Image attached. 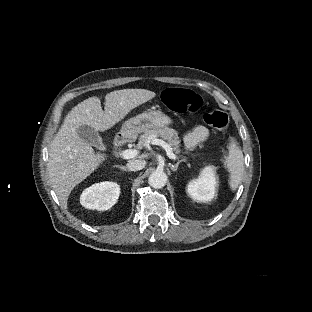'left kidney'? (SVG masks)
Instances as JSON below:
<instances>
[{"label":"left kidney","mask_w":312,"mask_h":312,"mask_svg":"<svg viewBox=\"0 0 312 312\" xmlns=\"http://www.w3.org/2000/svg\"><path fill=\"white\" fill-rule=\"evenodd\" d=\"M216 184L214 169L206 167L198 180L189 183L187 192L195 201L210 202L215 195Z\"/></svg>","instance_id":"left-kidney-1"}]
</instances>
